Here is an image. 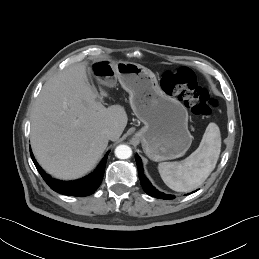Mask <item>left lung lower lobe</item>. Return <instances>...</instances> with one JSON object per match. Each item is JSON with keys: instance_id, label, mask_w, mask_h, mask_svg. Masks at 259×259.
Returning a JSON list of instances; mask_svg holds the SVG:
<instances>
[{"instance_id": "obj_1", "label": "left lung lower lobe", "mask_w": 259, "mask_h": 259, "mask_svg": "<svg viewBox=\"0 0 259 259\" xmlns=\"http://www.w3.org/2000/svg\"><path fill=\"white\" fill-rule=\"evenodd\" d=\"M136 162H137V168H138L141 185L148 195L159 198V199H166V200L174 199V195H168V194L162 193L151 185L149 180L143 174L142 161L138 155L136 156Z\"/></svg>"}]
</instances>
